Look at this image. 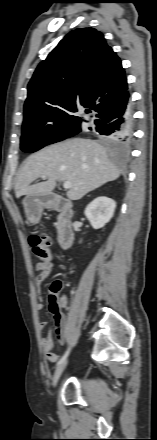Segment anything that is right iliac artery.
<instances>
[{
  "instance_id": "82829eb1",
  "label": "right iliac artery",
  "mask_w": 157,
  "mask_h": 440,
  "mask_svg": "<svg viewBox=\"0 0 157 440\" xmlns=\"http://www.w3.org/2000/svg\"><path fill=\"white\" fill-rule=\"evenodd\" d=\"M69 352H70V349H68L65 353H64V355L60 358V360L57 362V366L58 365H60L61 363H63L65 360H66V358L68 357V355H69Z\"/></svg>"
}]
</instances>
